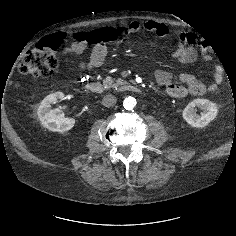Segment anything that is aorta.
<instances>
[{"label": "aorta", "mask_w": 236, "mask_h": 236, "mask_svg": "<svg viewBox=\"0 0 236 236\" xmlns=\"http://www.w3.org/2000/svg\"><path fill=\"white\" fill-rule=\"evenodd\" d=\"M136 106V99L134 97H126L123 101V107L126 110H133L134 107Z\"/></svg>", "instance_id": "762f6f07"}]
</instances>
